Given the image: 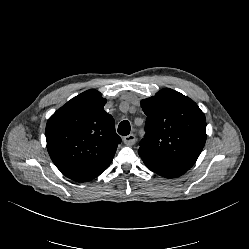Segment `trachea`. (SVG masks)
I'll list each match as a JSON object with an SVG mask.
<instances>
[{
    "label": "trachea",
    "mask_w": 249,
    "mask_h": 249,
    "mask_svg": "<svg viewBox=\"0 0 249 249\" xmlns=\"http://www.w3.org/2000/svg\"><path fill=\"white\" fill-rule=\"evenodd\" d=\"M118 133L122 136L130 134V123L128 121H122L118 126Z\"/></svg>",
    "instance_id": "3493384b"
}]
</instances>
